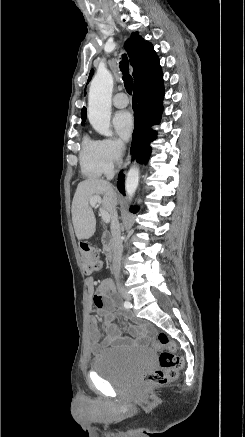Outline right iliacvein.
Instances as JSON below:
<instances>
[{
	"instance_id": "63e3f726",
	"label": "right iliac vein",
	"mask_w": 245,
	"mask_h": 437,
	"mask_svg": "<svg viewBox=\"0 0 245 437\" xmlns=\"http://www.w3.org/2000/svg\"><path fill=\"white\" fill-rule=\"evenodd\" d=\"M120 294L126 299V300H131V295L129 294V292L125 289H121L120 290Z\"/></svg>"
}]
</instances>
